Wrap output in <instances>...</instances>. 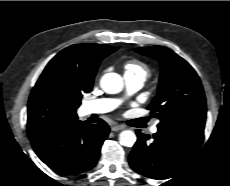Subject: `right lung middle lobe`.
<instances>
[{"instance_id":"1","label":"right lung middle lobe","mask_w":230,"mask_h":186,"mask_svg":"<svg viewBox=\"0 0 230 186\" xmlns=\"http://www.w3.org/2000/svg\"><path fill=\"white\" fill-rule=\"evenodd\" d=\"M92 89V85H89V86H85L83 88H79L78 91H77V99L80 103L81 101V98H82V93H88L90 90Z\"/></svg>"}]
</instances>
